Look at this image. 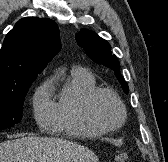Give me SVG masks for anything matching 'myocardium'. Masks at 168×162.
Here are the masks:
<instances>
[{"label":"myocardium","instance_id":"f54148a6","mask_svg":"<svg viewBox=\"0 0 168 162\" xmlns=\"http://www.w3.org/2000/svg\"><path fill=\"white\" fill-rule=\"evenodd\" d=\"M106 94L112 97L118 104L121 112V117L119 122L116 125L109 126L103 123L97 116L95 112V102L97 98L102 95ZM85 112L88 117V119L97 127L100 129L110 132L120 129L126 122L127 118V111L124 102L122 101L121 97L112 89L109 88H99L97 87L93 91H91L85 101Z\"/></svg>","mask_w":168,"mask_h":162}]
</instances>
